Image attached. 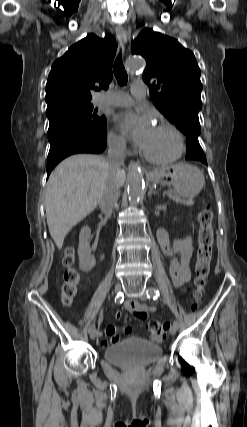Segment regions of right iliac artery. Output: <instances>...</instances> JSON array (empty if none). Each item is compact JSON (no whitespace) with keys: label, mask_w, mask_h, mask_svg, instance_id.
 <instances>
[{"label":"right iliac artery","mask_w":247,"mask_h":427,"mask_svg":"<svg viewBox=\"0 0 247 427\" xmlns=\"http://www.w3.org/2000/svg\"><path fill=\"white\" fill-rule=\"evenodd\" d=\"M123 301H124V295H123V293L119 292L117 294V296L115 297V303L119 304V303H122ZM94 328H95V324L93 323V324L90 325L89 331H91Z\"/></svg>","instance_id":"right-iliac-artery-1"}]
</instances>
